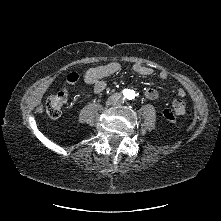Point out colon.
Returning <instances> with one entry per match:
<instances>
[{
  "label": "colon",
  "mask_w": 221,
  "mask_h": 221,
  "mask_svg": "<svg viewBox=\"0 0 221 221\" xmlns=\"http://www.w3.org/2000/svg\"><path fill=\"white\" fill-rule=\"evenodd\" d=\"M77 79V72L70 71L68 73V81L75 82ZM66 98L67 92L64 89L50 95L45 104V112L51 117H58L60 115L61 108L66 101ZM163 114L167 120L174 121L176 116H183L185 114V109L181 107H174V109L168 108L164 110Z\"/></svg>",
  "instance_id": "1"
}]
</instances>
